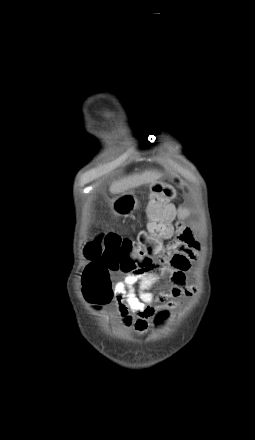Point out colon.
Instances as JSON below:
<instances>
[{"label":"colon","mask_w":255,"mask_h":440,"mask_svg":"<svg viewBox=\"0 0 255 440\" xmlns=\"http://www.w3.org/2000/svg\"><path fill=\"white\" fill-rule=\"evenodd\" d=\"M175 189L168 183H157L151 188L146 208V224L136 238L115 233L100 234L85 246V256L91 262L82 279L87 301L106 304L111 301L110 271L131 272L151 266L154 259L167 255L162 239L172 233L175 211L171 200ZM169 312H158L156 323L169 320Z\"/></svg>","instance_id":"1"}]
</instances>
